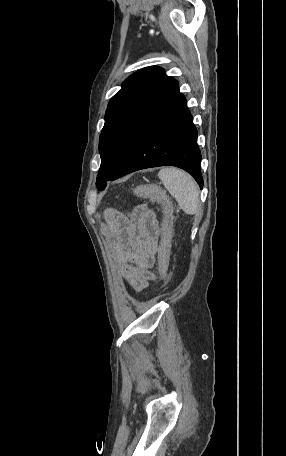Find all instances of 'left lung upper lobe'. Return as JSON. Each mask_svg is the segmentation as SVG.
<instances>
[{
  "mask_svg": "<svg viewBox=\"0 0 286 456\" xmlns=\"http://www.w3.org/2000/svg\"><path fill=\"white\" fill-rule=\"evenodd\" d=\"M178 82L160 67H148L129 76L111 98L99 138L101 166L96 186L103 190L139 133L177 95Z\"/></svg>",
  "mask_w": 286,
  "mask_h": 456,
  "instance_id": "obj_1",
  "label": "left lung upper lobe"
}]
</instances>
